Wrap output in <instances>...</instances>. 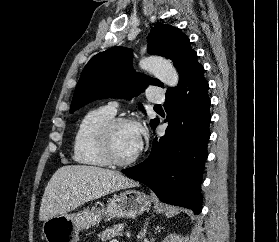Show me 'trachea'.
Segmentation results:
<instances>
[{"instance_id":"1","label":"trachea","mask_w":279,"mask_h":242,"mask_svg":"<svg viewBox=\"0 0 279 242\" xmlns=\"http://www.w3.org/2000/svg\"><path fill=\"white\" fill-rule=\"evenodd\" d=\"M161 106L160 105H155V108H160Z\"/></svg>"}]
</instances>
